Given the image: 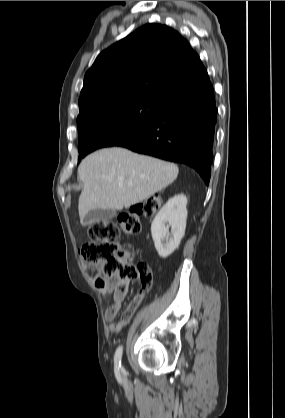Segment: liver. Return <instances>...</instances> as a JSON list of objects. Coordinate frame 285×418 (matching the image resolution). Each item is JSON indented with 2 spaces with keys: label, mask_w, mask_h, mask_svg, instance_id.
Returning a JSON list of instances; mask_svg holds the SVG:
<instances>
[{
  "label": "liver",
  "mask_w": 285,
  "mask_h": 418,
  "mask_svg": "<svg viewBox=\"0 0 285 418\" xmlns=\"http://www.w3.org/2000/svg\"><path fill=\"white\" fill-rule=\"evenodd\" d=\"M177 165L125 148L113 147L88 155L79 165L84 184L78 202L81 219L96 208L122 210L142 202L171 184Z\"/></svg>",
  "instance_id": "liver-1"
}]
</instances>
